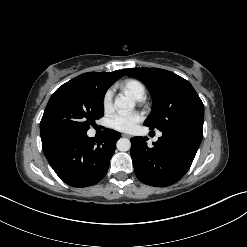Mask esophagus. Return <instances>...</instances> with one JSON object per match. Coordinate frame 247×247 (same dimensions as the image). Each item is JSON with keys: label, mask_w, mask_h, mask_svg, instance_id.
<instances>
[{"label": "esophagus", "mask_w": 247, "mask_h": 247, "mask_svg": "<svg viewBox=\"0 0 247 247\" xmlns=\"http://www.w3.org/2000/svg\"><path fill=\"white\" fill-rule=\"evenodd\" d=\"M123 137L130 138L131 136L129 134H122Z\"/></svg>", "instance_id": "esophagus-1"}]
</instances>
